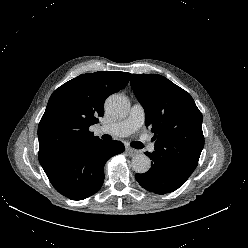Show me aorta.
Listing matches in <instances>:
<instances>
[{"label": "aorta", "mask_w": 248, "mask_h": 248, "mask_svg": "<svg viewBox=\"0 0 248 248\" xmlns=\"http://www.w3.org/2000/svg\"><path fill=\"white\" fill-rule=\"evenodd\" d=\"M107 112L115 118H123L129 112V102L122 95H112L105 103ZM132 169L139 174L146 173L151 167V161L145 154H137L131 161Z\"/></svg>", "instance_id": "aorta-1"}]
</instances>
